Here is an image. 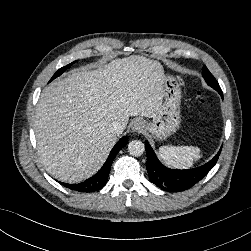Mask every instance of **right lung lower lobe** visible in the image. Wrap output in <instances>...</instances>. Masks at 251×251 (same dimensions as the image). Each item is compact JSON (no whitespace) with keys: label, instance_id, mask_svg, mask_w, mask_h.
Returning a JSON list of instances; mask_svg holds the SVG:
<instances>
[{"label":"right lung lower lobe","instance_id":"right-lung-lower-lobe-1","mask_svg":"<svg viewBox=\"0 0 251 251\" xmlns=\"http://www.w3.org/2000/svg\"><path fill=\"white\" fill-rule=\"evenodd\" d=\"M127 143H128V138L126 136L122 137L111 150L102 168L91 178L78 184H67L61 182L60 184L65 186L66 188L79 192H94L101 189L107 183L111 165L115 156L117 155L120 149H122L124 146L127 145Z\"/></svg>","mask_w":251,"mask_h":251}]
</instances>
